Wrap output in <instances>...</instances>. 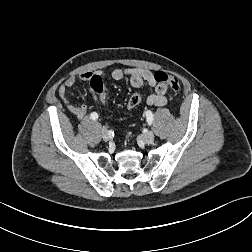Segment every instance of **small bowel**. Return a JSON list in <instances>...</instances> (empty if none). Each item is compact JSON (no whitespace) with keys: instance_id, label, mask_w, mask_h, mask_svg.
<instances>
[{"instance_id":"small-bowel-1","label":"small bowel","mask_w":252,"mask_h":252,"mask_svg":"<svg viewBox=\"0 0 252 252\" xmlns=\"http://www.w3.org/2000/svg\"><path fill=\"white\" fill-rule=\"evenodd\" d=\"M94 74L92 72H83L78 76H72L62 83L58 88V93L63 99L66 108L71 112L78 120L84 119L87 115L88 109L85 104L75 105L67 97V90L74 87L78 81H88ZM111 77L114 80H120L124 77L129 78V82L132 87L140 88L144 83H147L152 89L153 93L147 98V104L149 106L161 107L167 102V86L163 83H158L154 79V73L146 68H125L114 69L111 71ZM90 93L94 101L99 102L98 97L90 87Z\"/></svg>"}]
</instances>
